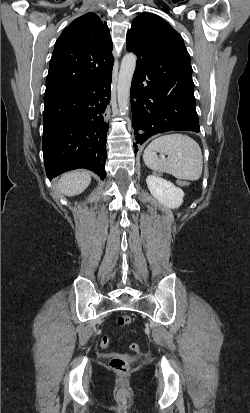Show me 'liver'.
Wrapping results in <instances>:
<instances>
[{"mask_svg":"<svg viewBox=\"0 0 250 413\" xmlns=\"http://www.w3.org/2000/svg\"><path fill=\"white\" fill-rule=\"evenodd\" d=\"M90 182L89 172L76 170L63 174L58 182V188L66 196H75L81 194Z\"/></svg>","mask_w":250,"mask_h":413,"instance_id":"obj_1","label":"liver"}]
</instances>
